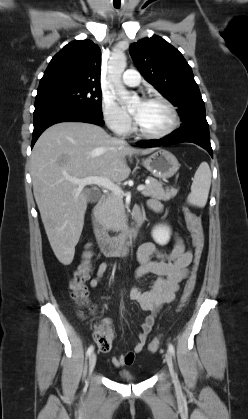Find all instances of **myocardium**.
Segmentation results:
<instances>
[{"mask_svg": "<svg viewBox=\"0 0 248 419\" xmlns=\"http://www.w3.org/2000/svg\"><path fill=\"white\" fill-rule=\"evenodd\" d=\"M145 101L159 102L165 105V107L168 109L171 115V122L169 126L165 128L164 130L160 132H156V133H150V132L144 131L139 126L136 118H134V131L136 132V134L142 138L153 139V140L162 139L172 134L178 128L180 124V116L174 104L170 100H168L166 97L161 96V95L149 96L145 99Z\"/></svg>", "mask_w": 248, "mask_h": 419, "instance_id": "obj_1", "label": "myocardium"}]
</instances>
